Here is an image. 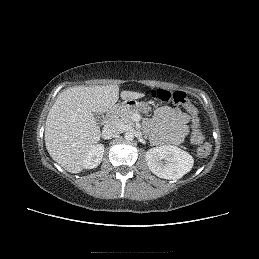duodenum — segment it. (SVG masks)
<instances>
[{"mask_svg":"<svg viewBox=\"0 0 259 259\" xmlns=\"http://www.w3.org/2000/svg\"><path fill=\"white\" fill-rule=\"evenodd\" d=\"M123 107L124 104H117L108 112L104 120L105 126H109L113 122L116 112Z\"/></svg>","mask_w":259,"mask_h":259,"instance_id":"410a0bca","label":"duodenum"}]
</instances>
